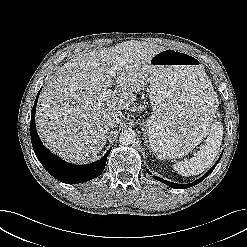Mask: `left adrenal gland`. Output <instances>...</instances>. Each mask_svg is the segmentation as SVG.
<instances>
[{
	"label": "left adrenal gland",
	"instance_id": "a2214340",
	"mask_svg": "<svg viewBox=\"0 0 247 247\" xmlns=\"http://www.w3.org/2000/svg\"><path fill=\"white\" fill-rule=\"evenodd\" d=\"M144 136H145V134H144ZM145 139H146V146H148V140H147V138L145 137Z\"/></svg>",
	"mask_w": 247,
	"mask_h": 247
}]
</instances>
